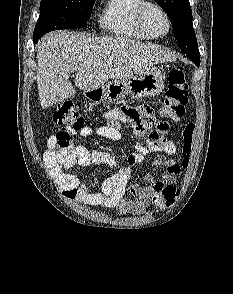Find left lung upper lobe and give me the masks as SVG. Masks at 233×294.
<instances>
[{
	"label": "left lung upper lobe",
	"mask_w": 233,
	"mask_h": 294,
	"mask_svg": "<svg viewBox=\"0 0 233 294\" xmlns=\"http://www.w3.org/2000/svg\"><path fill=\"white\" fill-rule=\"evenodd\" d=\"M168 15L175 38L183 53L197 66L200 54L192 23V11L189 0H154Z\"/></svg>",
	"instance_id": "left-lung-upper-lobe-1"
}]
</instances>
